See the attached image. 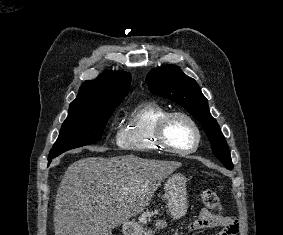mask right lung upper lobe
Wrapping results in <instances>:
<instances>
[{
  "mask_svg": "<svg viewBox=\"0 0 283 235\" xmlns=\"http://www.w3.org/2000/svg\"><path fill=\"white\" fill-rule=\"evenodd\" d=\"M131 83V76L121 72H106L98 79L84 82L71 104L121 102Z\"/></svg>",
  "mask_w": 283,
  "mask_h": 235,
  "instance_id": "cb5924a9",
  "label": "right lung upper lobe"
}]
</instances>
